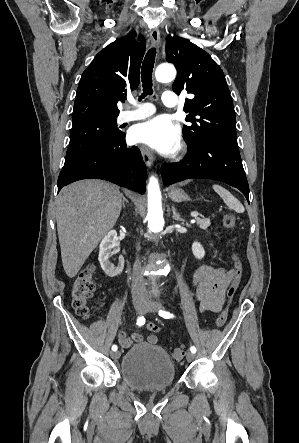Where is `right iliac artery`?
Segmentation results:
<instances>
[{
    "mask_svg": "<svg viewBox=\"0 0 299 443\" xmlns=\"http://www.w3.org/2000/svg\"><path fill=\"white\" fill-rule=\"evenodd\" d=\"M145 324V318H144V316H139L138 317V319H137V325L138 326H142V325H144ZM117 346L116 345H113L112 346V350L113 351H116L117 350Z\"/></svg>",
    "mask_w": 299,
    "mask_h": 443,
    "instance_id": "1",
    "label": "right iliac artery"
}]
</instances>
